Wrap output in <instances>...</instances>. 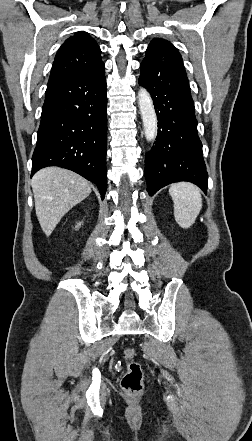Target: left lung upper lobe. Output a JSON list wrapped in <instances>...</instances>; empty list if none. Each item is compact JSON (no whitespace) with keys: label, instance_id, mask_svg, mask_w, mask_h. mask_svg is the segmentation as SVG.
Returning <instances> with one entry per match:
<instances>
[{"label":"left lung upper lobe","instance_id":"left-lung-upper-lobe-1","mask_svg":"<svg viewBox=\"0 0 252 441\" xmlns=\"http://www.w3.org/2000/svg\"><path fill=\"white\" fill-rule=\"evenodd\" d=\"M161 41H163V40L162 39H153L148 47H150L151 45H154V44H156L158 42H161Z\"/></svg>","mask_w":252,"mask_h":441}]
</instances>
